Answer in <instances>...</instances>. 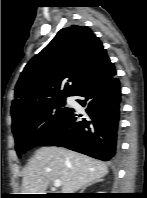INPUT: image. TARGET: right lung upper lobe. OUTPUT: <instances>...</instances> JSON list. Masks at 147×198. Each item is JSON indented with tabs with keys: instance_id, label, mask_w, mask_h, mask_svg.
Returning a JSON list of instances; mask_svg holds the SVG:
<instances>
[{
	"instance_id": "right-lung-upper-lobe-1",
	"label": "right lung upper lobe",
	"mask_w": 147,
	"mask_h": 198,
	"mask_svg": "<svg viewBox=\"0 0 147 198\" xmlns=\"http://www.w3.org/2000/svg\"><path fill=\"white\" fill-rule=\"evenodd\" d=\"M108 61L91 29L78 25L61 29L21 73L11 107L13 122L45 104L74 96ZM65 78L71 85L60 90Z\"/></svg>"
}]
</instances>
